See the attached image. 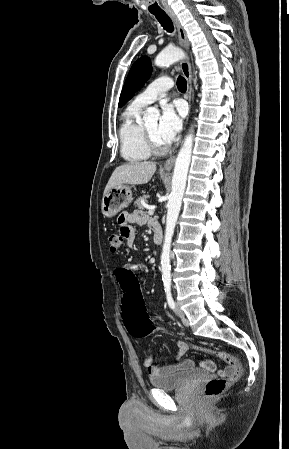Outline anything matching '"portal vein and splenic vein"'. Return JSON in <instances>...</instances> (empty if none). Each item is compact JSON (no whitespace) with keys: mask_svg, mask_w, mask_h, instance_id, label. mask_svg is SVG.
<instances>
[{"mask_svg":"<svg viewBox=\"0 0 289 449\" xmlns=\"http://www.w3.org/2000/svg\"><path fill=\"white\" fill-rule=\"evenodd\" d=\"M148 209H149V210H148V214H149V215H153V214H154L155 207H154V206H151V207H149Z\"/></svg>","mask_w":289,"mask_h":449,"instance_id":"1","label":"portal vein and splenic vein"}]
</instances>
